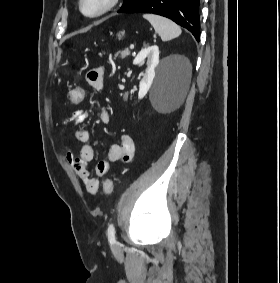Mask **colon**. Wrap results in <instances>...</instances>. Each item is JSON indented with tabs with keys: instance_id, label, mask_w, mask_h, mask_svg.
Returning a JSON list of instances; mask_svg holds the SVG:
<instances>
[{
	"instance_id": "obj_1",
	"label": "colon",
	"mask_w": 280,
	"mask_h": 283,
	"mask_svg": "<svg viewBox=\"0 0 280 283\" xmlns=\"http://www.w3.org/2000/svg\"><path fill=\"white\" fill-rule=\"evenodd\" d=\"M86 92H88V87H85V84H74V87L68 90L69 105H82V102H85L86 99ZM112 190V179H106L103 187L104 194L110 195Z\"/></svg>"
}]
</instances>
